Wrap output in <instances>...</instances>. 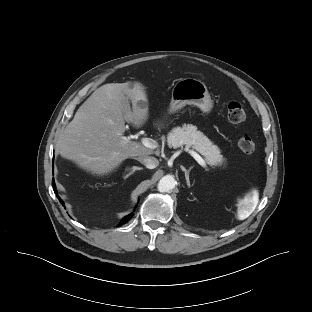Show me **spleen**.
<instances>
[{"mask_svg": "<svg viewBox=\"0 0 312 312\" xmlns=\"http://www.w3.org/2000/svg\"><path fill=\"white\" fill-rule=\"evenodd\" d=\"M258 200L259 197L256 191H253L251 195L245 197V199L239 205L237 218L239 220H243L250 216L258 204Z\"/></svg>", "mask_w": 312, "mask_h": 312, "instance_id": "1", "label": "spleen"}]
</instances>
